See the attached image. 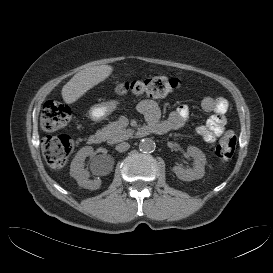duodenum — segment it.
I'll return each mask as SVG.
<instances>
[{"label": "duodenum", "mask_w": 273, "mask_h": 273, "mask_svg": "<svg viewBox=\"0 0 273 273\" xmlns=\"http://www.w3.org/2000/svg\"><path fill=\"white\" fill-rule=\"evenodd\" d=\"M167 131H169V126L165 121H155L151 123H147L143 126H141L138 129L139 135H146V134H164ZM105 140V135L102 132H95L89 137V143L91 145H99L103 143Z\"/></svg>", "instance_id": "1"}]
</instances>
